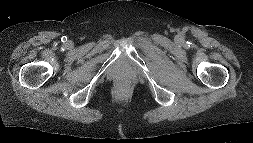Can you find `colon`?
<instances>
[{"mask_svg":"<svg viewBox=\"0 0 253 143\" xmlns=\"http://www.w3.org/2000/svg\"><path fill=\"white\" fill-rule=\"evenodd\" d=\"M118 86H119L120 88H123V87L125 86V83H124L123 81H120L119 84H118Z\"/></svg>","mask_w":253,"mask_h":143,"instance_id":"1","label":"colon"}]
</instances>
